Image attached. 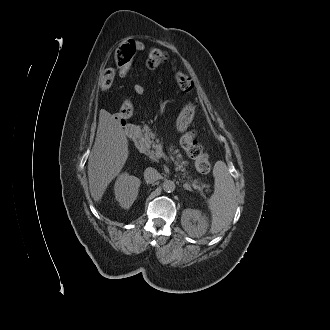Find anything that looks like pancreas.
<instances>
[{"label":"pancreas","mask_w":330,"mask_h":330,"mask_svg":"<svg viewBox=\"0 0 330 330\" xmlns=\"http://www.w3.org/2000/svg\"><path fill=\"white\" fill-rule=\"evenodd\" d=\"M156 135L152 133L150 130H147L140 142L141 151L147 155L151 160L157 161L158 157L156 156V149L158 139H155ZM173 154L176 155V169L183 172V177H187L188 181L191 183L192 187L198 191H202L204 188L209 190L210 185L200 182L199 179L191 180L190 176H187L185 173L186 169L185 166L187 165L186 161L182 160V155L179 153L178 150H174Z\"/></svg>","instance_id":"pancreas-1"}]
</instances>
